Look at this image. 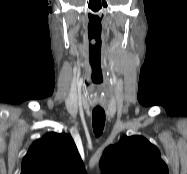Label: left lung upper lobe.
I'll use <instances>...</instances> for the list:
<instances>
[{"label":"left lung upper lobe","instance_id":"left-lung-upper-lobe-1","mask_svg":"<svg viewBox=\"0 0 187 174\" xmlns=\"http://www.w3.org/2000/svg\"><path fill=\"white\" fill-rule=\"evenodd\" d=\"M102 174H168L156 146L142 136H123L104 151Z\"/></svg>","mask_w":187,"mask_h":174}]
</instances>
